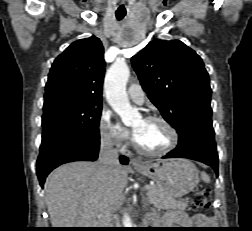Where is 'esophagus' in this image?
I'll list each match as a JSON object with an SVG mask.
<instances>
[{
	"label": "esophagus",
	"mask_w": 252,
	"mask_h": 231,
	"mask_svg": "<svg viewBox=\"0 0 252 231\" xmlns=\"http://www.w3.org/2000/svg\"><path fill=\"white\" fill-rule=\"evenodd\" d=\"M130 163H131V165L134 166V167L143 166V163H142L140 160L136 159V158H132V159L130 160Z\"/></svg>",
	"instance_id": "esophagus-1"
}]
</instances>
